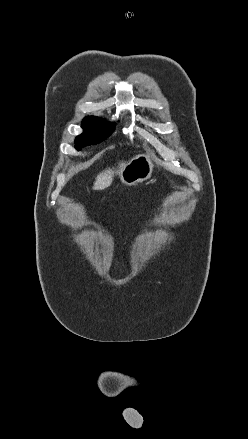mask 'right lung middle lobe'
Returning <instances> with one entry per match:
<instances>
[{
	"instance_id": "obj_1",
	"label": "right lung middle lobe",
	"mask_w": 248,
	"mask_h": 439,
	"mask_svg": "<svg viewBox=\"0 0 248 439\" xmlns=\"http://www.w3.org/2000/svg\"><path fill=\"white\" fill-rule=\"evenodd\" d=\"M84 132L76 137L77 150L84 146L100 143L113 132V125L99 117L89 116L82 121Z\"/></svg>"
}]
</instances>
